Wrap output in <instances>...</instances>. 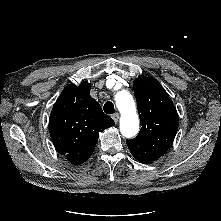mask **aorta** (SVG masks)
Returning <instances> with one entry per match:
<instances>
[{
    "instance_id": "obj_1",
    "label": "aorta",
    "mask_w": 221,
    "mask_h": 221,
    "mask_svg": "<svg viewBox=\"0 0 221 221\" xmlns=\"http://www.w3.org/2000/svg\"><path fill=\"white\" fill-rule=\"evenodd\" d=\"M116 106L121 113L120 131L123 136L131 138L139 131V117L132 95L122 90L115 95Z\"/></svg>"
}]
</instances>
